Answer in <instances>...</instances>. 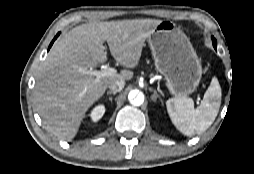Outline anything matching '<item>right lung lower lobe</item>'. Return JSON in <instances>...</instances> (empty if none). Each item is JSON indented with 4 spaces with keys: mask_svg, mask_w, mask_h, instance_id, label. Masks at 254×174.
<instances>
[{
    "mask_svg": "<svg viewBox=\"0 0 254 174\" xmlns=\"http://www.w3.org/2000/svg\"><path fill=\"white\" fill-rule=\"evenodd\" d=\"M58 35H59V34H57V35L55 36V38L53 39V41L51 42V44H50V46H49V49H50V47L52 46L54 40L58 37ZM49 49H48V50H49Z\"/></svg>",
    "mask_w": 254,
    "mask_h": 174,
    "instance_id": "98d812e1",
    "label": "right lung lower lobe"
}]
</instances>
